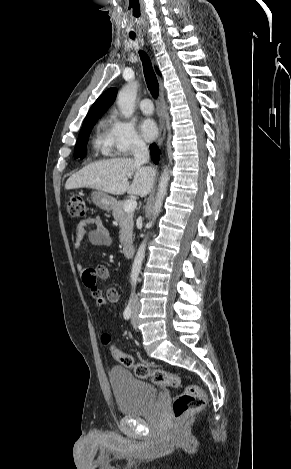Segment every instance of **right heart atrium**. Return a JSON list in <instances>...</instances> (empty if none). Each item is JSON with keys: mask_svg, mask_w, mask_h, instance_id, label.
Returning <instances> with one entry per match:
<instances>
[{"mask_svg": "<svg viewBox=\"0 0 291 469\" xmlns=\"http://www.w3.org/2000/svg\"><path fill=\"white\" fill-rule=\"evenodd\" d=\"M106 141L111 153L126 156L145 148V142L131 122L112 113L105 129Z\"/></svg>", "mask_w": 291, "mask_h": 469, "instance_id": "right-heart-atrium-1", "label": "right heart atrium"}]
</instances>
